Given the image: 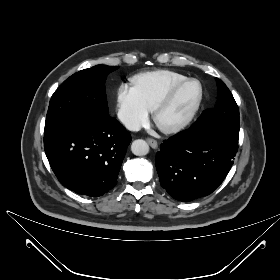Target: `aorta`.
Wrapping results in <instances>:
<instances>
[{"mask_svg":"<svg viewBox=\"0 0 280 280\" xmlns=\"http://www.w3.org/2000/svg\"><path fill=\"white\" fill-rule=\"evenodd\" d=\"M131 151L136 156H145L149 153V145L146 141L138 139L133 141Z\"/></svg>","mask_w":280,"mask_h":280,"instance_id":"aorta-1","label":"aorta"}]
</instances>
